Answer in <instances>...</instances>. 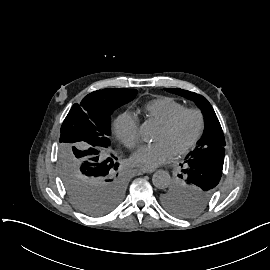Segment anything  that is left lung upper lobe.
<instances>
[{
	"mask_svg": "<svg viewBox=\"0 0 270 270\" xmlns=\"http://www.w3.org/2000/svg\"><path fill=\"white\" fill-rule=\"evenodd\" d=\"M165 90L193 100L204 115L205 129L196 149L185 157L184 165L180 164L183 169L178 179L160 195L162 205L170 213L191 218L207 208L217 189L222 176L225 139L219 120L206 98L179 88Z\"/></svg>",
	"mask_w": 270,
	"mask_h": 270,
	"instance_id": "left-lung-upper-lobe-1",
	"label": "left lung upper lobe"
}]
</instances>
